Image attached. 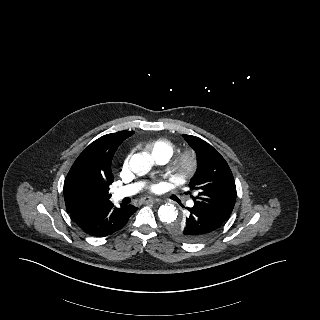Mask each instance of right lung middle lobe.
I'll return each mask as SVG.
<instances>
[{
	"mask_svg": "<svg viewBox=\"0 0 320 320\" xmlns=\"http://www.w3.org/2000/svg\"><path fill=\"white\" fill-rule=\"evenodd\" d=\"M108 190V185H90L83 190L82 196L87 202L99 204L109 199Z\"/></svg>",
	"mask_w": 320,
	"mask_h": 320,
	"instance_id": "obj_1",
	"label": "right lung middle lobe"
}]
</instances>
